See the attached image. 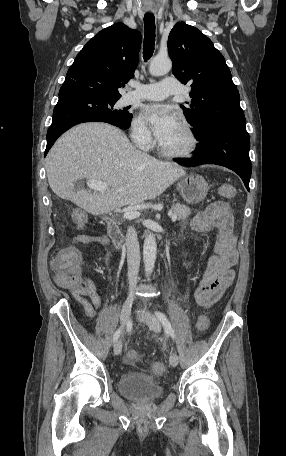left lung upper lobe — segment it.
I'll return each mask as SVG.
<instances>
[{
	"mask_svg": "<svg viewBox=\"0 0 286 456\" xmlns=\"http://www.w3.org/2000/svg\"><path fill=\"white\" fill-rule=\"evenodd\" d=\"M173 74L191 84L190 103L181 106L198 137L214 126L245 128L240 96L223 55L200 30L177 23L168 37Z\"/></svg>",
	"mask_w": 286,
	"mask_h": 456,
	"instance_id": "5c2ea615",
	"label": "left lung upper lobe"
}]
</instances>
